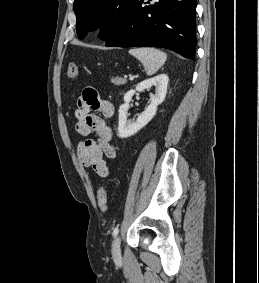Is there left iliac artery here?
I'll use <instances>...</instances> for the list:
<instances>
[{
	"instance_id": "1",
	"label": "left iliac artery",
	"mask_w": 259,
	"mask_h": 283,
	"mask_svg": "<svg viewBox=\"0 0 259 283\" xmlns=\"http://www.w3.org/2000/svg\"><path fill=\"white\" fill-rule=\"evenodd\" d=\"M118 232H119L118 227H115L114 230H113V236L114 237L117 236Z\"/></svg>"
}]
</instances>
